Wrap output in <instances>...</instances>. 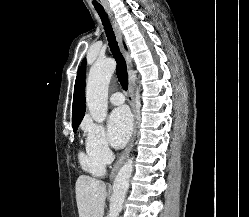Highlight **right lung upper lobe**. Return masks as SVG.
<instances>
[{
    "instance_id": "obj_1",
    "label": "right lung upper lobe",
    "mask_w": 249,
    "mask_h": 217,
    "mask_svg": "<svg viewBox=\"0 0 249 217\" xmlns=\"http://www.w3.org/2000/svg\"><path fill=\"white\" fill-rule=\"evenodd\" d=\"M85 73L82 67L78 69L73 97L72 108V125L79 126L82 118L84 117L86 105H85Z\"/></svg>"
}]
</instances>
